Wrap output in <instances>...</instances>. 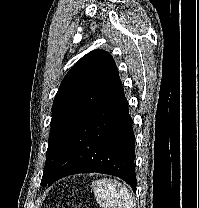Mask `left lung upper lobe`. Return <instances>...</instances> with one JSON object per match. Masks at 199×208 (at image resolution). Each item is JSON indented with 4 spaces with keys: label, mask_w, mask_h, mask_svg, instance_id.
Returning a JSON list of instances; mask_svg holds the SVG:
<instances>
[{
    "label": "left lung upper lobe",
    "mask_w": 199,
    "mask_h": 208,
    "mask_svg": "<svg viewBox=\"0 0 199 208\" xmlns=\"http://www.w3.org/2000/svg\"><path fill=\"white\" fill-rule=\"evenodd\" d=\"M121 85L112 56L94 50L66 74L52 106L51 131L41 185L50 179L59 154L82 122Z\"/></svg>",
    "instance_id": "5c2ea615"
}]
</instances>
